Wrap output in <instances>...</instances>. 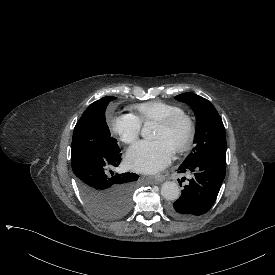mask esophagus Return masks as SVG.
I'll list each match as a JSON object with an SVG mask.
<instances>
[{"label": "esophagus", "mask_w": 275, "mask_h": 275, "mask_svg": "<svg viewBox=\"0 0 275 275\" xmlns=\"http://www.w3.org/2000/svg\"><path fill=\"white\" fill-rule=\"evenodd\" d=\"M154 179H155V183H161L164 180V176L156 175Z\"/></svg>", "instance_id": "34e87169"}]
</instances>
